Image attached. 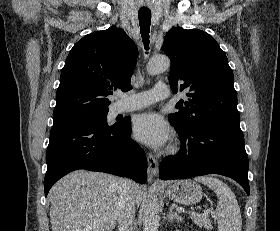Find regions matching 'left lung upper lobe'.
Segmentation results:
<instances>
[{
	"label": "left lung upper lobe",
	"instance_id": "1",
	"mask_svg": "<svg viewBox=\"0 0 280 231\" xmlns=\"http://www.w3.org/2000/svg\"><path fill=\"white\" fill-rule=\"evenodd\" d=\"M162 49L171 60L172 91H189L187 101L176 104L179 111L168 115L174 127L188 130L209 122H240L233 72L212 36L173 27L166 33Z\"/></svg>",
	"mask_w": 280,
	"mask_h": 231
}]
</instances>
